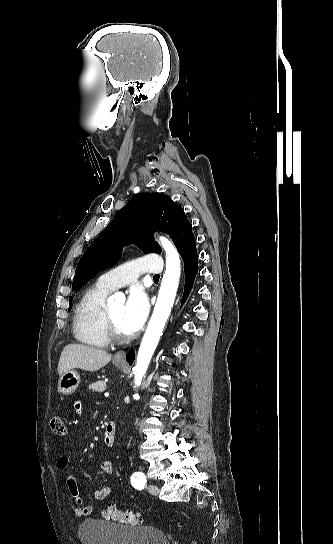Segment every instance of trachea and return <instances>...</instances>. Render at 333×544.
Masks as SVG:
<instances>
[{"label":"trachea","mask_w":333,"mask_h":544,"mask_svg":"<svg viewBox=\"0 0 333 544\" xmlns=\"http://www.w3.org/2000/svg\"><path fill=\"white\" fill-rule=\"evenodd\" d=\"M154 278H159V275H155Z\"/></svg>","instance_id":"1"}]
</instances>
